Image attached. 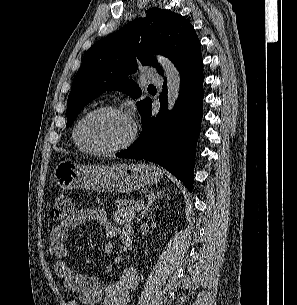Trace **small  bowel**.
Masks as SVG:
<instances>
[{"instance_id": "small-bowel-1", "label": "small bowel", "mask_w": 297, "mask_h": 305, "mask_svg": "<svg viewBox=\"0 0 297 305\" xmlns=\"http://www.w3.org/2000/svg\"><path fill=\"white\" fill-rule=\"evenodd\" d=\"M93 222L104 226L106 235L114 237L130 229L126 226L118 229L108 219L107 211L103 208H84L80 209L70 219L52 227L50 231L49 250L55 256V272L62 279L64 287L71 293L77 295V298L69 301L68 305H128L130 293L138 285V272L133 267L125 268L117 281L103 286L94 276L78 273L75 266L68 259V251L65 242L70 228ZM114 246L107 243L104 246V253H113Z\"/></svg>"}]
</instances>
